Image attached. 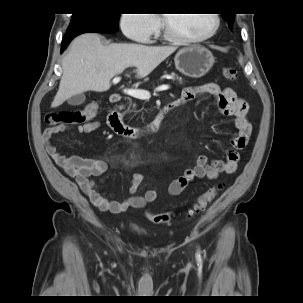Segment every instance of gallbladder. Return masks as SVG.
<instances>
[{"mask_svg":"<svg viewBox=\"0 0 303 303\" xmlns=\"http://www.w3.org/2000/svg\"><path fill=\"white\" fill-rule=\"evenodd\" d=\"M85 95L82 93V94H77V95H74L72 96L71 98L68 99V103L72 106H78V105H81L85 102Z\"/></svg>","mask_w":303,"mask_h":303,"instance_id":"1","label":"gallbladder"}]
</instances>
